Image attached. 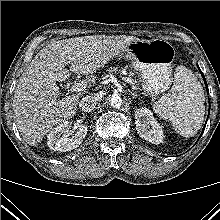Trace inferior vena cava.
<instances>
[{"label":"inferior vena cava","mask_w":220,"mask_h":220,"mask_svg":"<svg viewBox=\"0 0 220 220\" xmlns=\"http://www.w3.org/2000/svg\"><path fill=\"white\" fill-rule=\"evenodd\" d=\"M100 98L101 97L99 94L86 95L80 101L79 107L84 112H90L96 108V105L100 101Z\"/></svg>","instance_id":"inferior-vena-cava-1"}]
</instances>
